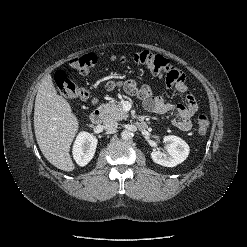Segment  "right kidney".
Masks as SVG:
<instances>
[{
  "label": "right kidney",
  "mask_w": 247,
  "mask_h": 247,
  "mask_svg": "<svg viewBox=\"0 0 247 247\" xmlns=\"http://www.w3.org/2000/svg\"><path fill=\"white\" fill-rule=\"evenodd\" d=\"M97 138L90 133L80 132L73 145V158L79 166L91 161L97 147Z\"/></svg>",
  "instance_id": "ca27d5eb"
}]
</instances>
